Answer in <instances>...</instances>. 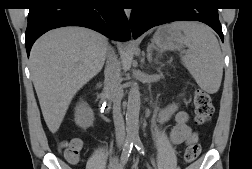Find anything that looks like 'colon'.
Segmentation results:
<instances>
[{
	"label": "colon",
	"instance_id": "obj_1",
	"mask_svg": "<svg viewBox=\"0 0 252 169\" xmlns=\"http://www.w3.org/2000/svg\"><path fill=\"white\" fill-rule=\"evenodd\" d=\"M194 108H195V122L197 125L206 124L213 112L214 106L211 96L203 91L197 90L194 95ZM81 143L71 140L63 142L61 147L65 159L71 163H76L79 160V153L81 150ZM201 152V144L199 140H195L185 150L184 161L186 163L194 162Z\"/></svg>",
	"mask_w": 252,
	"mask_h": 169
}]
</instances>
